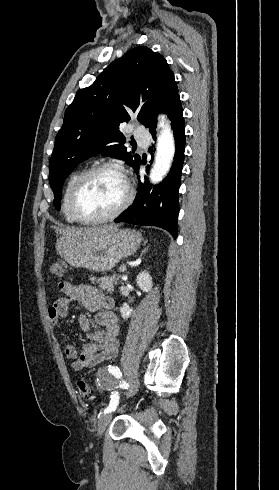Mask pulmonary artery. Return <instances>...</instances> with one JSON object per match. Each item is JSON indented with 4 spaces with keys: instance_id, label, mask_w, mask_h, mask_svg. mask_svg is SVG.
Wrapping results in <instances>:
<instances>
[{
    "instance_id": "pulmonary-artery-1",
    "label": "pulmonary artery",
    "mask_w": 279,
    "mask_h": 490,
    "mask_svg": "<svg viewBox=\"0 0 279 490\" xmlns=\"http://www.w3.org/2000/svg\"><path fill=\"white\" fill-rule=\"evenodd\" d=\"M128 129L131 131L132 126L128 125ZM150 134V131L148 128H139L138 131L135 134V137L137 140H144L145 137H148Z\"/></svg>"
}]
</instances>
